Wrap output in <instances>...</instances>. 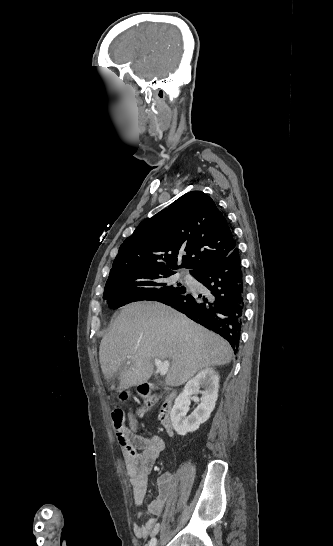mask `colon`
Listing matches in <instances>:
<instances>
[{"mask_svg": "<svg viewBox=\"0 0 333 546\" xmlns=\"http://www.w3.org/2000/svg\"><path fill=\"white\" fill-rule=\"evenodd\" d=\"M161 398V394H155L150 397L145 404L138 408V414L143 415L151 405L157 402ZM112 423L118 439L119 444L123 449L128 451L131 455L135 454V448L131 441L129 431L126 425L125 416L122 410L115 409L112 412Z\"/></svg>", "mask_w": 333, "mask_h": 546, "instance_id": "5ec220e1", "label": "colon"}]
</instances>
